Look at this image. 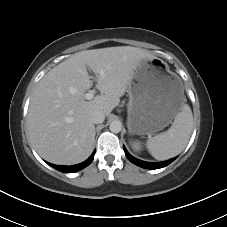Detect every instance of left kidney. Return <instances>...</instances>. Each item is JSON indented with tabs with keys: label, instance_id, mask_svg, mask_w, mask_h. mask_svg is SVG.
Returning <instances> with one entry per match:
<instances>
[{
	"label": "left kidney",
	"instance_id": "1",
	"mask_svg": "<svg viewBox=\"0 0 227 227\" xmlns=\"http://www.w3.org/2000/svg\"><path fill=\"white\" fill-rule=\"evenodd\" d=\"M131 147L136 152H138L140 150V144L138 142H131Z\"/></svg>",
	"mask_w": 227,
	"mask_h": 227
}]
</instances>
